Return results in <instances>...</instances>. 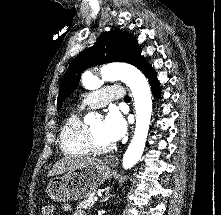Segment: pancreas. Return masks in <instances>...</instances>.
I'll return each mask as SVG.
<instances>
[{"mask_svg": "<svg viewBox=\"0 0 221 215\" xmlns=\"http://www.w3.org/2000/svg\"><path fill=\"white\" fill-rule=\"evenodd\" d=\"M94 194L89 196L87 199L83 200L82 202H80L77 206L78 209H90L95 201L93 200Z\"/></svg>", "mask_w": 221, "mask_h": 215, "instance_id": "1", "label": "pancreas"}]
</instances>
